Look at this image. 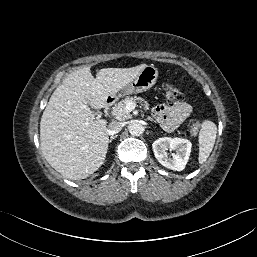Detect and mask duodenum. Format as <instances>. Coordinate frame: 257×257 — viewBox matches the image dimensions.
<instances>
[{
	"mask_svg": "<svg viewBox=\"0 0 257 257\" xmlns=\"http://www.w3.org/2000/svg\"><path fill=\"white\" fill-rule=\"evenodd\" d=\"M112 104H113V99L108 97L105 100V107H104V113H105L106 119L109 118V111H110V108H111Z\"/></svg>",
	"mask_w": 257,
	"mask_h": 257,
	"instance_id": "1",
	"label": "duodenum"
}]
</instances>
